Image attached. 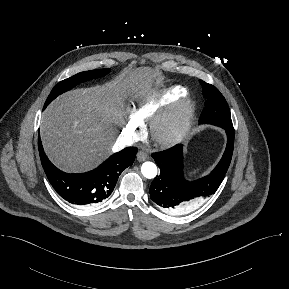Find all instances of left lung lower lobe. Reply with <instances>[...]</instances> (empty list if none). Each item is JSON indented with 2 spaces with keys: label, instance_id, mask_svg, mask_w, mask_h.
<instances>
[{
  "label": "left lung lower lobe",
  "instance_id": "0a47b994",
  "mask_svg": "<svg viewBox=\"0 0 289 289\" xmlns=\"http://www.w3.org/2000/svg\"><path fill=\"white\" fill-rule=\"evenodd\" d=\"M222 128L228 139L225 152L213 171L201 179H185L181 144L152 154L161 172L160 176L154 178L149 193L160 209L170 214L187 213L216 192L228 170L234 147L233 126Z\"/></svg>",
  "mask_w": 289,
  "mask_h": 289
}]
</instances>
